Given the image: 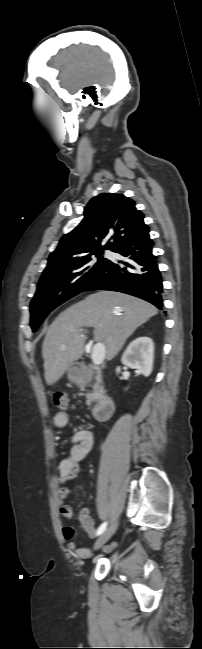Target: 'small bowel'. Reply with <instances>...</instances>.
Returning a JSON list of instances; mask_svg holds the SVG:
<instances>
[{"label": "small bowel", "instance_id": "1", "mask_svg": "<svg viewBox=\"0 0 202 649\" xmlns=\"http://www.w3.org/2000/svg\"><path fill=\"white\" fill-rule=\"evenodd\" d=\"M69 414L65 411H60L53 417V424L57 428H65L69 423ZM93 445L92 433L88 430H81L75 433L71 440L69 452L59 464L58 481L65 484L75 479L80 471V463L89 454ZM69 488L61 487L57 492L59 503V511L62 517L69 521L72 518V509L68 504ZM80 523L88 535L93 538L97 533L93 518L89 514L88 509H83L79 516ZM62 536L68 541V548L75 551L77 556L81 559H87L93 556L90 549L77 547L73 541L75 536V529L68 524L62 527ZM113 544L105 546L106 551H110Z\"/></svg>", "mask_w": 202, "mask_h": 649}]
</instances>
